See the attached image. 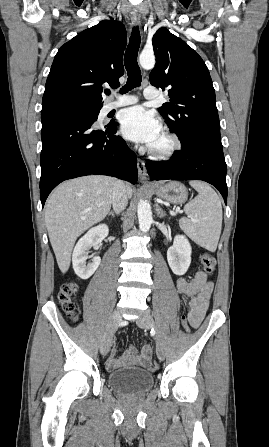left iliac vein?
<instances>
[{"label":"left iliac vein","mask_w":269,"mask_h":447,"mask_svg":"<svg viewBox=\"0 0 269 447\" xmlns=\"http://www.w3.org/2000/svg\"><path fill=\"white\" fill-rule=\"evenodd\" d=\"M137 326L140 328H146V327H155L156 324L152 318L151 315H144L142 317H140L139 319L136 320ZM156 353H157V357L160 360H163L165 358V348H164V343L162 340V336L158 330V327L156 326Z\"/></svg>","instance_id":"obj_1"}]
</instances>
